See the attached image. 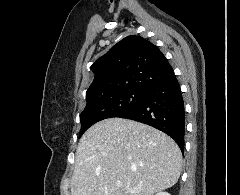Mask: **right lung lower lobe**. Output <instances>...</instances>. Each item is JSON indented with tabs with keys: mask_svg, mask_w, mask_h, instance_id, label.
Here are the masks:
<instances>
[{
	"mask_svg": "<svg viewBox=\"0 0 240 195\" xmlns=\"http://www.w3.org/2000/svg\"><path fill=\"white\" fill-rule=\"evenodd\" d=\"M119 117L148 124L166 133L176 141L183 152L184 101L175 75L151 87L140 105Z\"/></svg>",
	"mask_w": 240,
	"mask_h": 195,
	"instance_id": "1",
	"label": "right lung lower lobe"
}]
</instances>
